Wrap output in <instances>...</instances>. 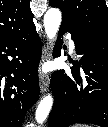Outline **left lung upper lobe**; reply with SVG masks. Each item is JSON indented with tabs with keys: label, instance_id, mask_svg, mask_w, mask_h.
Instances as JSON below:
<instances>
[{
	"label": "left lung upper lobe",
	"instance_id": "5c2ea615",
	"mask_svg": "<svg viewBox=\"0 0 108 127\" xmlns=\"http://www.w3.org/2000/svg\"><path fill=\"white\" fill-rule=\"evenodd\" d=\"M63 13L62 23H69L87 33L88 37L108 38V6L104 0H49Z\"/></svg>",
	"mask_w": 108,
	"mask_h": 127
}]
</instances>
